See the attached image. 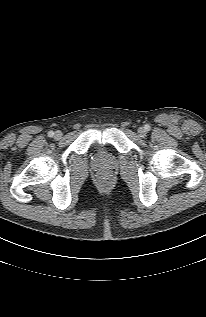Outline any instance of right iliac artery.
Listing matches in <instances>:
<instances>
[{"instance_id":"obj_1","label":"right iliac artery","mask_w":206,"mask_h":317,"mask_svg":"<svg viewBox=\"0 0 206 317\" xmlns=\"http://www.w3.org/2000/svg\"><path fill=\"white\" fill-rule=\"evenodd\" d=\"M48 136H49V137H53V136H54V132H53V131H49V132H48Z\"/></svg>"}]
</instances>
